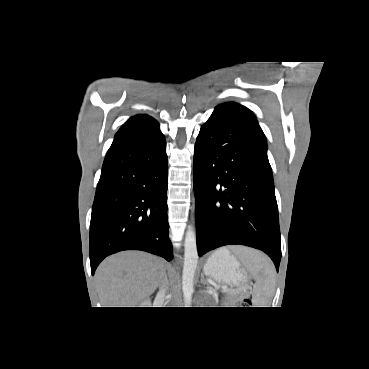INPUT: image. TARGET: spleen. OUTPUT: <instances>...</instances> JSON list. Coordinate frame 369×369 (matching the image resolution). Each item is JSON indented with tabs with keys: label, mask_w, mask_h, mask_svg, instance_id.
<instances>
[{
	"label": "spleen",
	"mask_w": 369,
	"mask_h": 369,
	"mask_svg": "<svg viewBox=\"0 0 369 369\" xmlns=\"http://www.w3.org/2000/svg\"><path fill=\"white\" fill-rule=\"evenodd\" d=\"M239 256L256 278L253 304L257 305L256 307H268L275 288L276 271L274 265L267 256L257 250L242 248Z\"/></svg>",
	"instance_id": "spleen-1"
}]
</instances>
